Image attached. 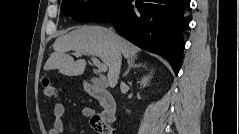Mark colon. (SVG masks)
Segmentation results:
<instances>
[{
    "mask_svg": "<svg viewBox=\"0 0 239 134\" xmlns=\"http://www.w3.org/2000/svg\"><path fill=\"white\" fill-rule=\"evenodd\" d=\"M42 92L47 98H54L58 94L57 87L53 80L49 77H43L41 81ZM92 127L99 134H114L115 130L113 126L107 122L103 117L99 115H94L91 118Z\"/></svg>",
    "mask_w": 239,
    "mask_h": 134,
    "instance_id": "5ec220e1",
    "label": "colon"
}]
</instances>
